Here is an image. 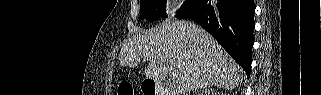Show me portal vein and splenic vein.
Instances as JSON below:
<instances>
[{
    "instance_id": "18ae733b",
    "label": "portal vein and splenic vein",
    "mask_w": 321,
    "mask_h": 95,
    "mask_svg": "<svg viewBox=\"0 0 321 95\" xmlns=\"http://www.w3.org/2000/svg\"><path fill=\"white\" fill-rule=\"evenodd\" d=\"M170 74H171V77H172V82L173 83H176V74L172 71V70H170Z\"/></svg>"
}]
</instances>
